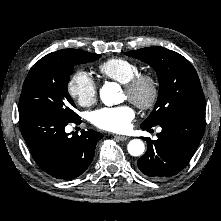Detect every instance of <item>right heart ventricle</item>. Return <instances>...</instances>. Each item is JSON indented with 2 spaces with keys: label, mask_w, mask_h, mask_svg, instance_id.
Returning <instances> with one entry per match:
<instances>
[{
  "label": "right heart ventricle",
  "mask_w": 221,
  "mask_h": 221,
  "mask_svg": "<svg viewBox=\"0 0 221 221\" xmlns=\"http://www.w3.org/2000/svg\"><path fill=\"white\" fill-rule=\"evenodd\" d=\"M98 70L104 77L121 84L127 83L140 73L138 64L125 58H110L99 64Z\"/></svg>",
  "instance_id": "1"
}]
</instances>
